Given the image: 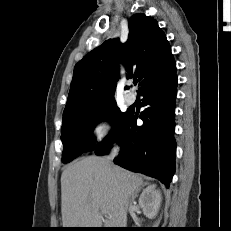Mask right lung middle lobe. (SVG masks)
Listing matches in <instances>:
<instances>
[{"instance_id": "right-lung-middle-lobe-1", "label": "right lung middle lobe", "mask_w": 231, "mask_h": 231, "mask_svg": "<svg viewBox=\"0 0 231 231\" xmlns=\"http://www.w3.org/2000/svg\"><path fill=\"white\" fill-rule=\"evenodd\" d=\"M129 111L121 112L115 101H110L82 111L64 114L61 128L63 143L62 161L68 163L86 151L96 150L107 142V137L99 145H94L92 130L102 120L113 123V133L118 130Z\"/></svg>"}]
</instances>
